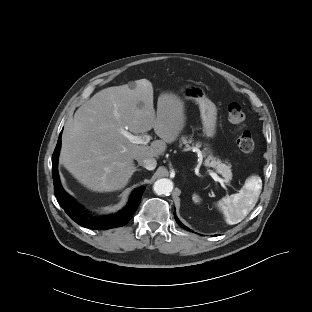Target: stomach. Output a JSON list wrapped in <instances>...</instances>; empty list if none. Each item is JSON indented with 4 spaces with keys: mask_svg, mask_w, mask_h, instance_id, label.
<instances>
[{
    "mask_svg": "<svg viewBox=\"0 0 312 312\" xmlns=\"http://www.w3.org/2000/svg\"><path fill=\"white\" fill-rule=\"evenodd\" d=\"M180 92L184 98L194 100L199 104L204 135L207 138H213L217 127V108L215 104L206 97L204 90L197 85H184L181 87ZM205 150L211 154L209 148Z\"/></svg>",
    "mask_w": 312,
    "mask_h": 312,
    "instance_id": "stomach-1",
    "label": "stomach"
}]
</instances>
